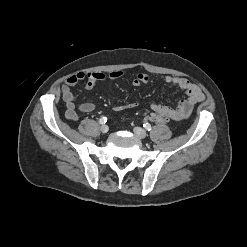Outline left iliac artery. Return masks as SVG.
Instances as JSON below:
<instances>
[{
	"label": "left iliac artery",
	"mask_w": 247,
	"mask_h": 247,
	"mask_svg": "<svg viewBox=\"0 0 247 247\" xmlns=\"http://www.w3.org/2000/svg\"><path fill=\"white\" fill-rule=\"evenodd\" d=\"M143 127H144L146 130H148V131L151 130V125H150L148 122H145V123L143 124Z\"/></svg>",
	"instance_id": "1"
}]
</instances>
